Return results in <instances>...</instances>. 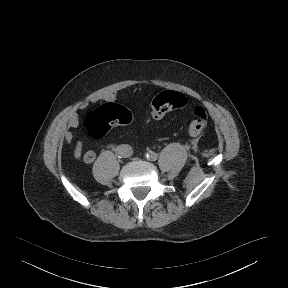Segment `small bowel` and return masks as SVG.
I'll use <instances>...</instances> for the list:
<instances>
[{"label":"small bowel","mask_w":288,"mask_h":288,"mask_svg":"<svg viewBox=\"0 0 288 288\" xmlns=\"http://www.w3.org/2000/svg\"><path fill=\"white\" fill-rule=\"evenodd\" d=\"M81 154H82V144L78 143L75 148L74 155L76 158H79ZM95 158H96V153L93 150H88L83 154L84 162L87 164L93 163Z\"/></svg>","instance_id":"obj_1"}]
</instances>
